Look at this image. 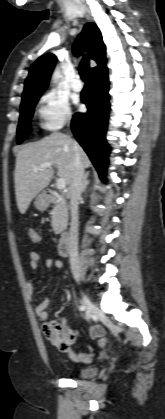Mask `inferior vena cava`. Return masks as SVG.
Wrapping results in <instances>:
<instances>
[{
  "label": "inferior vena cava",
  "instance_id": "602c4592",
  "mask_svg": "<svg viewBox=\"0 0 165 419\" xmlns=\"http://www.w3.org/2000/svg\"><path fill=\"white\" fill-rule=\"evenodd\" d=\"M84 166L80 160L77 145L75 143V157L73 161L72 177L69 187L71 224L69 237V261L74 275L78 274V204L83 191Z\"/></svg>",
  "mask_w": 165,
  "mask_h": 419
}]
</instances>
